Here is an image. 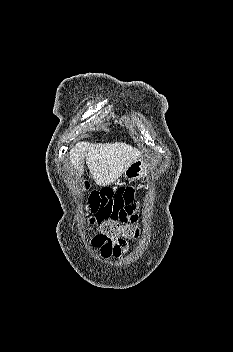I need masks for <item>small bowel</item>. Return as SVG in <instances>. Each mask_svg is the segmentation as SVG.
<instances>
[{
  "mask_svg": "<svg viewBox=\"0 0 233 352\" xmlns=\"http://www.w3.org/2000/svg\"><path fill=\"white\" fill-rule=\"evenodd\" d=\"M84 189L89 190V186L85 185ZM133 202L134 189L132 187H104L89 191L87 209L92 213L96 222L115 219L122 223H135L138 215L135 213ZM92 244L99 249L105 259L121 257L126 246L123 240L107 241L98 236L93 239Z\"/></svg>",
  "mask_w": 233,
  "mask_h": 352,
  "instance_id": "c3829d8e",
  "label": "small bowel"
}]
</instances>
